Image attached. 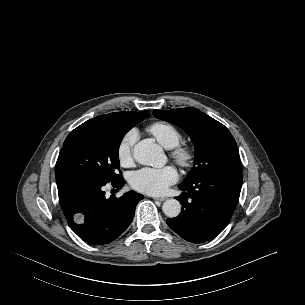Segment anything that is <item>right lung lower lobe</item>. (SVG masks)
Segmentation results:
<instances>
[{"label":"right lung lower lobe","mask_w":305,"mask_h":305,"mask_svg":"<svg viewBox=\"0 0 305 305\" xmlns=\"http://www.w3.org/2000/svg\"><path fill=\"white\" fill-rule=\"evenodd\" d=\"M59 202L73 232L92 245L110 243L130 225L135 207L143 195L134 191L120 198L105 197L103 186L79 177L56 179ZM121 177L111 184L121 188Z\"/></svg>","instance_id":"right-lung-lower-lobe-1"}]
</instances>
